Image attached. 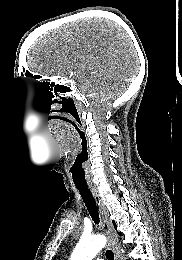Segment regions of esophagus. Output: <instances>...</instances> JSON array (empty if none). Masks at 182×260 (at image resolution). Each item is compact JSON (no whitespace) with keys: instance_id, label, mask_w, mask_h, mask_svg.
Wrapping results in <instances>:
<instances>
[{"instance_id":"1","label":"esophagus","mask_w":182,"mask_h":260,"mask_svg":"<svg viewBox=\"0 0 182 260\" xmlns=\"http://www.w3.org/2000/svg\"><path fill=\"white\" fill-rule=\"evenodd\" d=\"M92 195L95 199L96 205L98 207L100 220H101V226L103 231L108 237L109 240V246L112 248L115 256V260H120V251L117 247L118 238L117 235L112 227V224L108 218V214L106 211V208L104 206V203L101 199V196L97 189L91 188Z\"/></svg>"}]
</instances>
